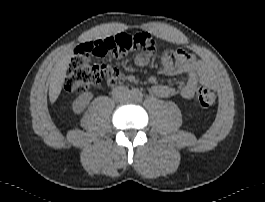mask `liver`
Here are the masks:
<instances>
[{
    "label": "liver",
    "mask_w": 265,
    "mask_h": 202,
    "mask_svg": "<svg viewBox=\"0 0 265 202\" xmlns=\"http://www.w3.org/2000/svg\"><path fill=\"white\" fill-rule=\"evenodd\" d=\"M72 55V50L62 55L51 72L49 85V100L51 103H54L61 93Z\"/></svg>",
    "instance_id": "obj_1"
}]
</instances>
